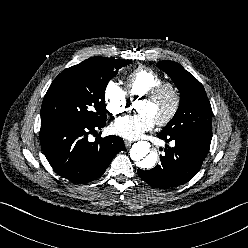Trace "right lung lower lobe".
Wrapping results in <instances>:
<instances>
[{
  "mask_svg": "<svg viewBox=\"0 0 248 248\" xmlns=\"http://www.w3.org/2000/svg\"><path fill=\"white\" fill-rule=\"evenodd\" d=\"M105 125V121L41 120V148L53 170L75 183L99 178L113 157L125 148L122 138L118 136L97 137L94 142L88 141L89 134L96 133Z\"/></svg>",
  "mask_w": 248,
  "mask_h": 248,
  "instance_id": "obj_1",
  "label": "right lung lower lobe"
}]
</instances>
